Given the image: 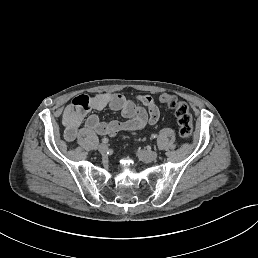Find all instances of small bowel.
I'll use <instances>...</instances> for the list:
<instances>
[{
	"mask_svg": "<svg viewBox=\"0 0 258 258\" xmlns=\"http://www.w3.org/2000/svg\"><path fill=\"white\" fill-rule=\"evenodd\" d=\"M109 108L120 112L124 120L104 122L92 113ZM160 117L159 107L152 96L137 95L130 100L118 93H96L77 95L62 113L63 135L68 142L78 136L80 126L97 135L116 136L121 132H135L147 125H154Z\"/></svg>",
	"mask_w": 258,
	"mask_h": 258,
	"instance_id": "small-bowel-1",
	"label": "small bowel"
}]
</instances>
